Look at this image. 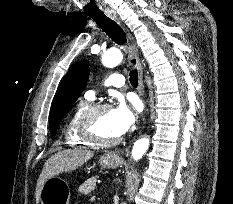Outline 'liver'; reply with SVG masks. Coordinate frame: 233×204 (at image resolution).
<instances>
[{"label": "liver", "instance_id": "1", "mask_svg": "<svg viewBox=\"0 0 233 204\" xmlns=\"http://www.w3.org/2000/svg\"><path fill=\"white\" fill-rule=\"evenodd\" d=\"M94 152L82 149H68L52 155L44 164L36 186V203H39L40 193L44 183L60 173L76 170L93 157Z\"/></svg>", "mask_w": 233, "mask_h": 204}]
</instances>
